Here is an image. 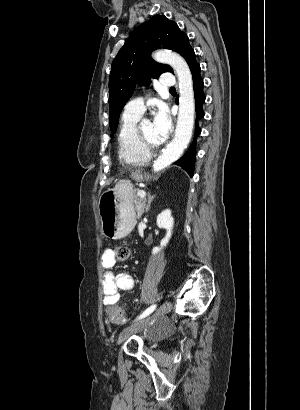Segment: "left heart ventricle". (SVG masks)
Wrapping results in <instances>:
<instances>
[{"instance_id": "b2bd125f", "label": "left heart ventricle", "mask_w": 300, "mask_h": 410, "mask_svg": "<svg viewBox=\"0 0 300 410\" xmlns=\"http://www.w3.org/2000/svg\"><path fill=\"white\" fill-rule=\"evenodd\" d=\"M142 130L151 143H158L154 133L153 123L150 120H146L142 123Z\"/></svg>"}]
</instances>
